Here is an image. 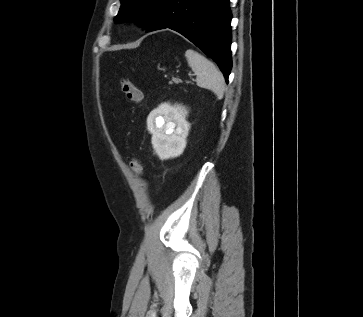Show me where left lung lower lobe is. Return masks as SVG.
<instances>
[{
	"label": "left lung lower lobe",
	"instance_id": "left-lung-lower-lobe-1",
	"mask_svg": "<svg viewBox=\"0 0 363 317\" xmlns=\"http://www.w3.org/2000/svg\"><path fill=\"white\" fill-rule=\"evenodd\" d=\"M229 0H161L146 32L170 28L200 47L226 81L232 67Z\"/></svg>",
	"mask_w": 363,
	"mask_h": 317
}]
</instances>
